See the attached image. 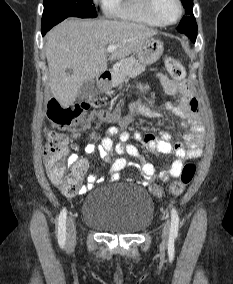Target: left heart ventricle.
I'll use <instances>...</instances> for the list:
<instances>
[{
    "instance_id": "obj_1",
    "label": "left heart ventricle",
    "mask_w": 233,
    "mask_h": 284,
    "mask_svg": "<svg viewBox=\"0 0 233 284\" xmlns=\"http://www.w3.org/2000/svg\"><path fill=\"white\" fill-rule=\"evenodd\" d=\"M156 10L160 18L166 22L173 21L178 14L175 0H156Z\"/></svg>"
}]
</instances>
